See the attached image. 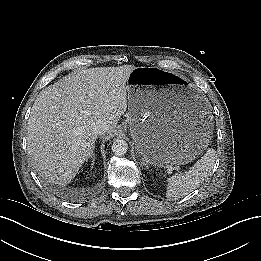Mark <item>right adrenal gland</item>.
<instances>
[{"mask_svg": "<svg viewBox=\"0 0 261 261\" xmlns=\"http://www.w3.org/2000/svg\"><path fill=\"white\" fill-rule=\"evenodd\" d=\"M91 159H92V164H93L94 161H95V154H94V153H92V155H91Z\"/></svg>", "mask_w": 261, "mask_h": 261, "instance_id": "1", "label": "right adrenal gland"}]
</instances>
